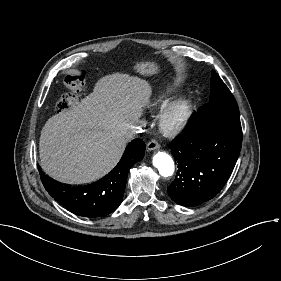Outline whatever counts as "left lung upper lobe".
I'll use <instances>...</instances> for the list:
<instances>
[{
  "mask_svg": "<svg viewBox=\"0 0 281 281\" xmlns=\"http://www.w3.org/2000/svg\"><path fill=\"white\" fill-rule=\"evenodd\" d=\"M231 113L239 115L236 100L221 78L212 71L210 101L202 106L197 115Z\"/></svg>",
  "mask_w": 281,
  "mask_h": 281,
  "instance_id": "1",
  "label": "left lung upper lobe"
}]
</instances>
